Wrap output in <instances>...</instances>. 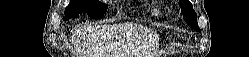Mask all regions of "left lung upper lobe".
<instances>
[{
  "instance_id": "obj_1",
  "label": "left lung upper lobe",
  "mask_w": 249,
  "mask_h": 57,
  "mask_svg": "<svg viewBox=\"0 0 249 57\" xmlns=\"http://www.w3.org/2000/svg\"><path fill=\"white\" fill-rule=\"evenodd\" d=\"M179 5L181 7V12L184 14L183 18L189 26L195 30H199L197 24V15L193 10L192 4L188 0H180Z\"/></svg>"
}]
</instances>
